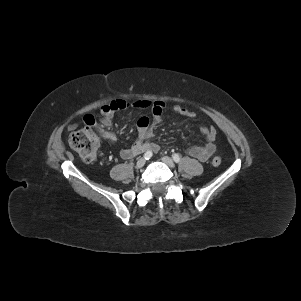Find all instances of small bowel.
<instances>
[{
    "mask_svg": "<svg viewBox=\"0 0 301 301\" xmlns=\"http://www.w3.org/2000/svg\"><path fill=\"white\" fill-rule=\"evenodd\" d=\"M130 107L150 109L152 117L150 119L146 116H142L137 120V139L130 147L121 150V157L123 159H130L144 151L157 153L159 151V145L152 140L153 127L162 120V113L165 107V104L162 101L137 100L130 103L123 99H117L101 107V118L99 122H97L92 115L84 116L82 122L86 126L95 128L104 139L115 142L117 139L116 135L110 131V128L113 126L114 115L117 111ZM173 110L175 113L189 118L195 116L194 112L180 105L174 106ZM74 128L75 125L70 127V129ZM200 132L205 136L207 141L206 144L203 146L190 147L188 149V154L204 162L216 152L217 146L215 141L217 132L214 127H201Z\"/></svg>",
    "mask_w": 301,
    "mask_h": 301,
    "instance_id": "c3829d8e",
    "label": "small bowel"
}]
</instances>
